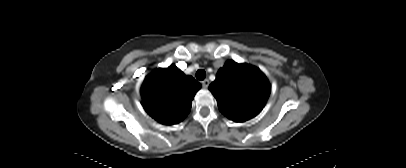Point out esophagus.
Wrapping results in <instances>:
<instances>
[{
	"label": "esophagus",
	"mask_w": 406,
	"mask_h": 168,
	"mask_svg": "<svg viewBox=\"0 0 406 168\" xmlns=\"http://www.w3.org/2000/svg\"><path fill=\"white\" fill-rule=\"evenodd\" d=\"M202 86H203L204 88H208V86H209V80H208V79L203 80V81H202Z\"/></svg>",
	"instance_id": "obj_1"
}]
</instances>
